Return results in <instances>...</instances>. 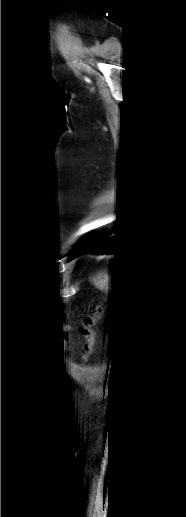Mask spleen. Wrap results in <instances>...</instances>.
Returning <instances> with one entry per match:
<instances>
[{
  "label": "spleen",
  "mask_w": 186,
  "mask_h": 517,
  "mask_svg": "<svg viewBox=\"0 0 186 517\" xmlns=\"http://www.w3.org/2000/svg\"><path fill=\"white\" fill-rule=\"evenodd\" d=\"M92 281L96 288L103 291H108L109 277L107 273H98V275L94 277Z\"/></svg>",
  "instance_id": "1"
}]
</instances>
